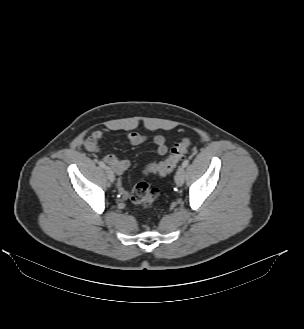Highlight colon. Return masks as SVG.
<instances>
[{
	"mask_svg": "<svg viewBox=\"0 0 304 329\" xmlns=\"http://www.w3.org/2000/svg\"><path fill=\"white\" fill-rule=\"evenodd\" d=\"M191 143L192 141L188 137L181 139L172 147L169 157L164 162L149 163L143 168V173L145 175H167L171 173L184 158ZM158 196L159 190L146 182H138L131 191L132 202L143 208H150Z\"/></svg>",
	"mask_w": 304,
	"mask_h": 329,
	"instance_id": "obj_1",
	"label": "colon"
}]
</instances>
